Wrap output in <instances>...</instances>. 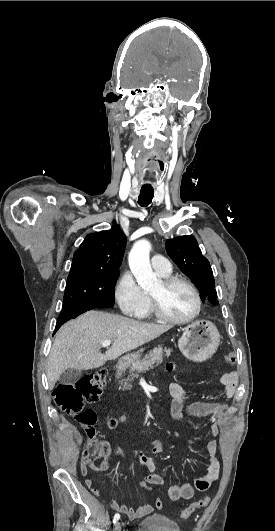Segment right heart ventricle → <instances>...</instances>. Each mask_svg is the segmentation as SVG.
Returning <instances> with one entry per match:
<instances>
[{
    "label": "right heart ventricle",
    "instance_id": "obj_1",
    "mask_svg": "<svg viewBox=\"0 0 275 531\" xmlns=\"http://www.w3.org/2000/svg\"><path fill=\"white\" fill-rule=\"evenodd\" d=\"M166 275H169V274H165L164 276H166ZM151 313H152V307H151V304H150V306H149L148 310L146 311V313L143 316H141V317H148Z\"/></svg>",
    "mask_w": 275,
    "mask_h": 531
}]
</instances>
